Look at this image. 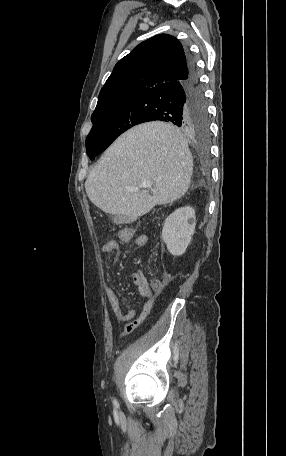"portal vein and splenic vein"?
<instances>
[{
	"mask_svg": "<svg viewBox=\"0 0 286 456\" xmlns=\"http://www.w3.org/2000/svg\"><path fill=\"white\" fill-rule=\"evenodd\" d=\"M152 185H153V182H152V181H150V180H145V181L142 182L141 188H151ZM128 190H130V191H137L138 188H128Z\"/></svg>",
	"mask_w": 286,
	"mask_h": 456,
	"instance_id": "obj_1",
	"label": "portal vein and splenic vein"
}]
</instances>
